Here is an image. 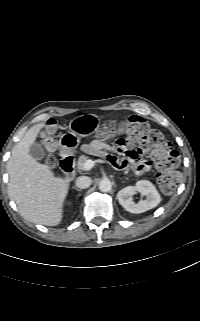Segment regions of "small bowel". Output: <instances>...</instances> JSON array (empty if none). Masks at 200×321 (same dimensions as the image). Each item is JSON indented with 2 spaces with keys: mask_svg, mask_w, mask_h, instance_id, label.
Wrapping results in <instances>:
<instances>
[{
  "mask_svg": "<svg viewBox=\"0 0 200 321\" xmlns=\"http://www.w3.org/2000/svg\"><path fill=\"white\" fill-rule=\"evenodd\" d=\"M123 136L121 134H116L114 140L111 138H103L100 144L91 145L88 149L101 152L104 149L115 150L122 157L118 158L112 155H107L106 159L108 163L115 169L125 170L132 169L137 174H142L151 169V161L147 159H142L136 153L132 152L134 149V144L132 142H127L125 147L123 144Z\"/></svg>",
  "mask_w": 200,
  "mask_h": 321,
  "instance_id": "1",
  "label": "small bowel"
}]
</instances>
